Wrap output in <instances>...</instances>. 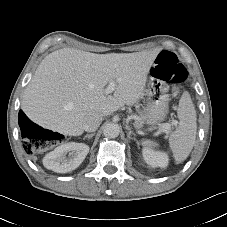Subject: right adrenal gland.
<instances>
[{
  "mask_svg": "<svg viewBox=\"0 0 227 227\" xmlns=\"http://www.w3.org/2000/svg\"><path fill=\"white\" fill-rule=\"evenodd\" d=\"M95 135V133H92V134H86L83 138H88V139H91L93 136Z\"/></svg>",
  "mask_w": 227,
  "mask_h": 227,
  "instance_id": "2a0ac1e0",
  "label": "right adrenal gland"
}]
</instances>
